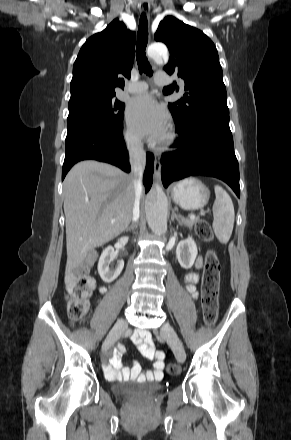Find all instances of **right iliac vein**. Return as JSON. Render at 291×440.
<instances>
[{"label":"right iliac vein","instance_id":"1","mask_svg":"<svg viewBox=\"0 0 291 440\" xmlns=\"http://www.w3.org/2000/svg\"><path fill=\"white\" fill-rule=\"evenodd\" d=\"M125 328H126V321L124 319L118 320L117 323L112 328V330L109 332L103 344V351H106L107 349H109L111 346L114 345V343L121 337Z\"/></svg>","mask_w":291,"mask_h":440}]
</instances>
